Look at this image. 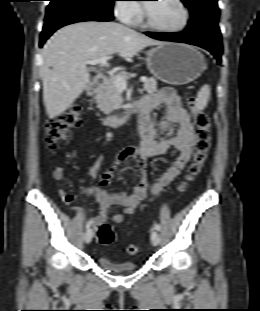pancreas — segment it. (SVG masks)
Returning a JSON list of instances; mask_svg holds the SVG:
<instances>
[{
	"mask_svg": "<svg viewBox=\"0 0 260 311\" xmlns=\"http://www.w3.org/2000/svg\"><path fill=\"white\" fill-rule=\"evenodd\" d=\"M118 76L123 79H128V73L120 72ZM144 90L152 94L157 91V81L153 78L147 79L144 83ZM123 98L121 96L120 90L115 84L114 78L106 79L101 87V90L96 97L97 108L102 111L104 114H110L114 110H117L121 107Z\"/></svg>",
	"mask_w": 260,
	"mask_h": 311,
	"instance_id": "1",
	"label": "pancreas"
}]
</instances>
